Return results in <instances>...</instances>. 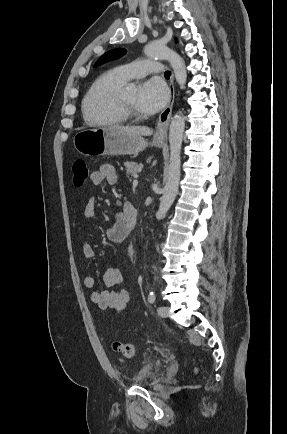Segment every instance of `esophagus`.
Masks as SVG:
<instances>
[{
    "label": "esophagus",
    "instance_id": "34e87169",
    "mask_svg": "<svg viewBox=\"0 0 287 434\" xmlns=\"http://www.w3.org/2000/svg\"><path fill=\"white\" fill-rule=\"evenodd\" d=\"M174 98H175V87H174V75L172 74L170 80L169 103L167 107L160 113L157 120L155 138L158 140H163L166 138L170 117L172 113V107L174 104Z\"/></svg>",
    "mask_w": 287,
    "mask_h": 434
}]
</instances>
